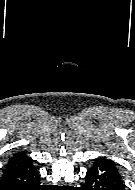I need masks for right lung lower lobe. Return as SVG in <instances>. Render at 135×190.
I'll return each mask as SVG.
<instances>
[{"instance_id": "obj_1", "label": "right lung lower lobe", "mask_w": 135, "mask_h": 190, "mask_svg": "<svg viewBox=\"0 0 135 190\" xmlns=\"http://www.w3.org/2000/svg\"><path fill=\"white\" fill-rule=\"evenodd\" d=\"M38 171L24 153L12 156L7 162L0 182V190H45Z\"/></svg>"}]
</instances>
